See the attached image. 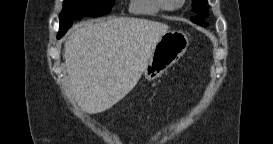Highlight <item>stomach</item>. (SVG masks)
<instances>
[{
    "label": "stomach",
    "instance_id": "obj_1",
    "mask_svg": "<svg viewBox=\"0 0 273 144\" xmlns=\"http://www.w3.org/2000/svg\"><path fill=\"white\" fill-rule=\"evenodd\" d=\"M188 45L189 39L184 32L167 31L156 44L143 71L144 77L149 81L161 77L183 56Z\"/></svg>",
    "mask_w": 273,
    "mask_h": 144
}]
</instances>
